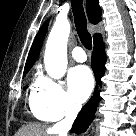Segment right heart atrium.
Wrapping results in <instances>:
<instances>
[{"label": "right heart atrium", "mask_w": 136, "mask_h": 136, "mask_svg": "<svg viewBox=\"0 0 136 136\" xmlns=\"http://www.w3.org/2000/svg\"><path fill=\"white\" fill-rule=\"evenodd\" d=\"M32 102L33 106L50 121L72 115L78 110L77 104L67 94L63 84L45 76L37 79Z\"/></svg>", "instance_id": "1"}]
</instances>
